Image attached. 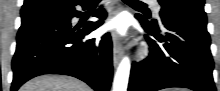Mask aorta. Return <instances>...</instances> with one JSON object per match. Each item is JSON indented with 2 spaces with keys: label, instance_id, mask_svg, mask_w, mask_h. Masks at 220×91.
Listing matches in <instances>:
<instances>
[{
  "label": "aorta",
  "instance_id": "1",
  "mask_svg": "<svg viewBox=\"0 0 220 91\" xmlns=\"http://www.w3.org/2000/svg\"><path fill=\"white\" fill-rule=\"evenodd\" d=\"M130 60L124 57L118 66L115 74L113 91H127L128 80L130 75Z\"/></svg>",
  "mask_w": 220,
  "mask_h": 91
}]
</instances>
